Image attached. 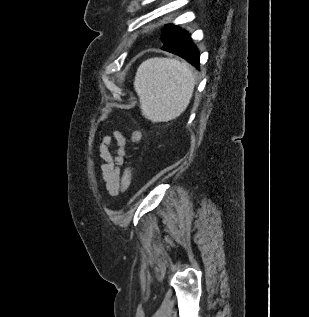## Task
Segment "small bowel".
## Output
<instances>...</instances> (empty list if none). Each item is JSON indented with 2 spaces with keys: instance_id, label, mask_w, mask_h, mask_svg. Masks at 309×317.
Masks as SVG:
<instances>
[{
  "instance_id": "small-bowel-1",
  "label": "small bowel",
  "mask_w": 309,
  "mask_h": 317,
  "mask_svg": "<svg viewBox=\"0 0 309 317\" xmlns=\"http://www.w3.org/2000/svg\"><path fill=\"white\" fill-rule=\"evenodd\" d=\"M113 147V150L110 149ZM127 151V140L123 132L114 130L112 136H104L99 143L103 163L99 165L101 180L105 190L116 196L122 190L121 166Z\"/></svg>"
}]
</instances>
